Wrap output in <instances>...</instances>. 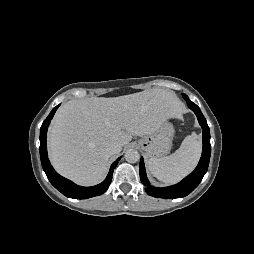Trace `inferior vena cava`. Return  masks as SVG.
<instances>
[{
	"label": "inferior vena cava",
	"mask_w": 254,
	"mask_h": 254,
	"mask_svg": "<svg viewBox=\"0 0 254 254\" xmlns=\"http://www.w3.org/2000/svg\"><path fill=\"white\" fill-rule=\"evenodd\" d=\"M121 145L118 144V143H113V144H110L107 149H106V153L108 156H113V155H116L118 154L120 151H121Z\"/></svg>",
	"instance_id": "obj_1"
}]
</instances>
